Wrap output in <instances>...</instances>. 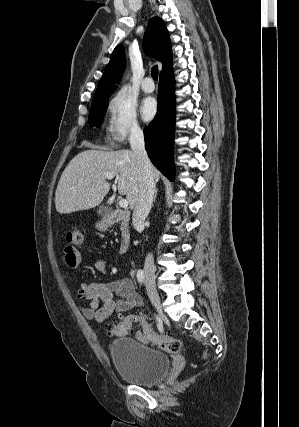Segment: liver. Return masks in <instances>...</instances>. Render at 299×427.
<instances>
[{
	"label": "liver",
	"mask_w": 299,
	"mask_h": 427,
	"mask_svg": "<svg viewBox=\"0 0 299 427\" xmlns=\"http://www.w3.org/2000/svg\"><path fill=\"white\" fill-rule=\"evenodd\" d=\"M154 181L160 172L152 167ZM118 178V192L125 195L130 209L139 192L137 157L131 150H86L77 154L63 171L55 193L57 212L68 214L98 206L110 190L105 174Z\"/></svg>",
	"instance_id": "liver-1"
}]
</instances>
